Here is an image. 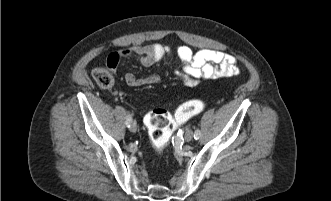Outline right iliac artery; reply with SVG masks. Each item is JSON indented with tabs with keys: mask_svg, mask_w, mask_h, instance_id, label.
<instances>
[{
	"mask_svg": "<svg viewBox=\"0 0 331 201\" xmlns=\"http://www.w3.org/2000/svg\"><path fill=\"white\" fill-rule=\"evenodd\" d=\"M132 121V117L131 115L128 113L127 116H126V125L127 127H130V123Z\"/></svg>",
	"mask_w": 331,
	"mask_h": 201,
	"instance_id": "obj_1",
	"label": "right iliac artery"
}]
</instances>
